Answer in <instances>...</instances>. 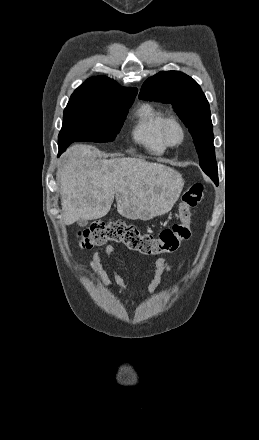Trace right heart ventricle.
<instances>
[{"label":"right heart ventricle","mask_w":259,"mask_h":440,"mask_svg":"<svg viewBox=\"0 0 259 440\" xmlns=\"http://www.w3.org/2000/svg\"><path fill=\"white\" fill-rule=\"evenodd\" d=\"M166 111L153 103L142 104L135 113L131 135L133 140L153 154L163 153L167 146L161 137V126L167 118Z\"/></svg>","instance_id":"e07e8e85"}]
</instances>
